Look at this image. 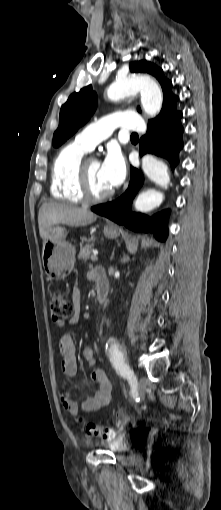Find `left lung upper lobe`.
<instances>
[{"mask_svg": "<svg viewBox=\"0 0 221 510\" xmlns=\"http://www.w3.org/2000/svg\"><path fill=\"white\" fill-rule=\"evenodd\" d=\"M129 67L131 72L149 73L160 82L164 99L162 110L155 119L162 117L170 111H178L176 109V103L179 98L172 93V83L164 77L162 69L145 60L133 62ZM97 103V95L96 92L92 90L91 85L84 87L77 93L71 94L67 102L61 107L59 127L53 136V146L59 147L62 145L84 125L94 114ZM138 111H140L139 108Z\"/></svg>", "mask_w": 221, "mask_h": 510, "instance_id": "obj_1", "label": "left lung upper lobe"}]
</instances>
